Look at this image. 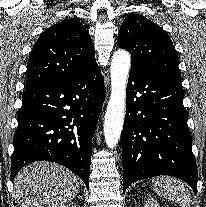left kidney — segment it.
Masks as SVG:
<instances>
[{"mask_svg":"<svg viewBox=\"0 0 206 207\" xmlns=\"http://www.w3.org/2000/svg\"><path fill=\"white\" fill-rule=\"evenodd\" d=\"M143 207H160V205L153 198H148Z\"/></svg>","mask_w":206,"mask_h":207,"instance_id":"1","label":"left kidney"}]
</instances>
